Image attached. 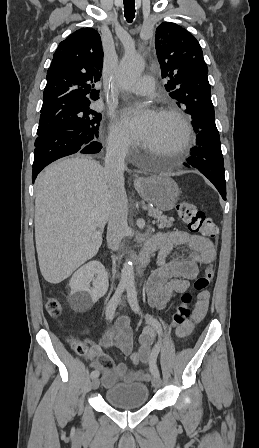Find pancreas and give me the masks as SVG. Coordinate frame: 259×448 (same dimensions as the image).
<instances>
[{"label":"pancreas","mask_w":259,"mask_h":448,"mask_svg":"<svg viewBox=\"0 0 259 448\" xmlns=\"http://www.w3.org/2000/svg\"><path fill=\"white\" fill-rule=\"evenodd\" d=\"M148 216H152L155 222H157L158 228H171L173 226L174 218H168V216H163L161 210H155V208H149Z\"/></svg>","instance_id":"cf45deb5"}]
</instances>
